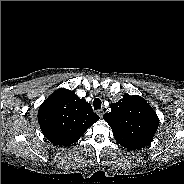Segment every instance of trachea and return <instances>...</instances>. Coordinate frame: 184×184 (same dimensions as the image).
I'll use <instances>...</instances> for the list:
<instances>
[{"label": "trachea", "instance_id": "3493384b", "mask_svg": "<svg viewBox=\"0 0 184 184\" xmlns=\"http://www.w3.org/2000/svg\"><path fill=\"white\" fill-rule=\"evenodd\" d=\"M101 100L99 98H95L94 99V102H93V105H94V110H98L101 108Z\"/></svg>", "mask_w": 184, "mask_h": 184}]
</instances>
